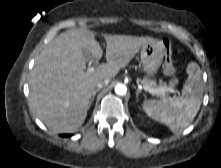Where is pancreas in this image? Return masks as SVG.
<instances>
[{
	"mask_svg": "<svg viewBox=\"0 0 221 168\" xmlns=\"http://www.w3.org/2000/svg\"><path fill=\"white\" fill-rule=\"evenodd\" d=\"M143 85H147L151 88H155V89H158L160 91H168L171 86H167L166 84L162 83V81H160V84L157 86L156 83L154 81H150L148 79H142L140 81Z\"/></svg>",
	"mask_w": 221,
	"mask_h": 168,
	"instance_id": "obj_1",
	"label": "pancreas"
}]
</instances>
